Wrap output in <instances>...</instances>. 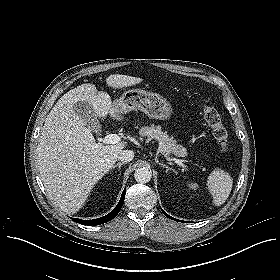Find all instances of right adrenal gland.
Returning a JSON list of instances; mask_svg holds the SVG:
<instances>
[{"label": "right adrenal gland", "mask_w": 280, "mask_h": 280, "mask_svg": "<svg viewBox=\"0 0 280 280\" xmlns=\"http://www.w3.org/2000/svg\"><path fill=\"white\" fill-rule=\"evenodd\" d=\"M123 164H124L123 162H119V163H117L116 165H114V166L112 167V169L118 167L119 170H120V169H121V166H122Z\"/></svg>", "instance_id": "obj_1"}]
</instances>
